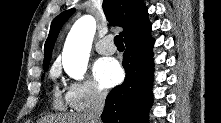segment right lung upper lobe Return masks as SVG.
<instances>
[{
    "mask_svg": "<svg viewBox=\"0 0 221 123\" xmlns=\"http://www.w3.org/2000/svg\"><path fill=\"white\" fill-rule=\"evenodd\" d=\"M103 9L111 25L124 28L121 33L124 42L143 37L151 31L147 7L143 0H104ZM74 12V8L64 11L52 21L44 47V65L50 63L59 31Z\"/></svg>",
    "mask_w": 221,
    "mask_h": 123,
    "instance_id": "cb5924a9",
    "label": "right lung upper lobe"
}]
</instances>
